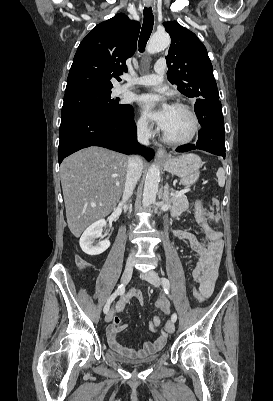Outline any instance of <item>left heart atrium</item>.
I'll use <instances>...</instances> for the list:
<instances>
[{
	"instance_id": "39dd6f15",
	"label": "left heart atrium",
	"mask_w": 273,
	"mask_h": 401,
	"mask_svg": "<svg viewBox=\"0 0 273 401\" xmlns=\"http://www.w3.org/2000/svg\"><path fill=\"white\" fill-rule=\"evenodd\" d=\"M139 106L145 117L165 127L173 106L156 94H143L138 98Z\"/></svg>"
}]
</instances>
